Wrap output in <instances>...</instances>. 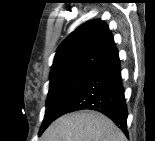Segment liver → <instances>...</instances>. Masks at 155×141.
<instances>
[{"label":"liver","mask_w":155,"mask_h":141,"mask_svg":"<svg viewBox=\"0 0 155 141\" xmlns=\"http://www.w3.org/2000/svg\"><path fill=\"white\" fill-rule=\"evenodd\" d=\"M43 141H126L123 132L106 116L82 110L66 114L44 132Z\"/></svg>","instance_id":"obj_1"}]
</instances>
